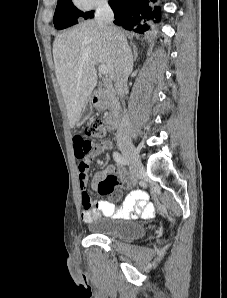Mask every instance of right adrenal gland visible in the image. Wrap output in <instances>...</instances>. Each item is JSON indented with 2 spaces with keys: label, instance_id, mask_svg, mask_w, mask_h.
Here are the masks:
<instances>
[{
  "label": "right adrenal gland",
  "instance_id": "obj_1",
  "mask_svg": "<svg viewBox=\"0 0 227 298\" xmlns=\"http://www.w3.org/2000/svg\"><path fill=\"white\" fill-rule=\"evenodd\" d=\"M132 45H133L134 61H136L137 60V56H138L137 48H136V46L134 44H132Z\"/></svg>",
  "mask_w": 227,
  "mask_h": 298
}]
</instances>
